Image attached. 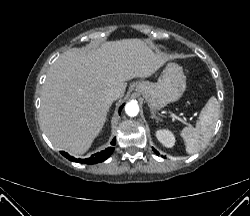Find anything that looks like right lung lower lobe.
I'll list each match as a JSON object with an SVG mask.
<instances>
[{
    "label": "right lung lower lobe",
    "mask_w": 250,
    "mask_h": 216,
    "mask_svg": "<svg viewBox=\"0 0 250 216\" xmlns=\"http://www.w3.org/2000/svg\"><path fill=\"white\" fill-rule=\"evenodd\" d=\"M123 106H124V104L119 108V113L121 112ZM115 142H116V139L114 138L112 141V144L114 145ZM113 151H114V148L109 147V148L105 149L104 151L98 152V153L92 155V157H90L88 159H83V160L82 159H75L65 152H61V154L63 156H65L66 158H68L69 160H72L75 162L94 164V163H99V162H103L104 160H106L112 154Z\"/></svg>",
    "instance_id": "right-lung-lower-lobe-1"
}]
</instances>
